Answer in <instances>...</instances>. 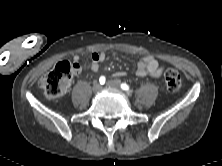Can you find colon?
Masks as SVG:
<instances>
[{
  "instance_id": "colon-1",
  "label": "colon",
  "mask_w": 222,
  "mask_h": 166,
  "mask_svg": "<svg viewBox=\"0 0 222 166\" xmlns=\"http://www.w3.org/2000/svg\"><path fill=\"white\" fill-rule=\"evenodd\" d=\"M78 67H80L79 64H71L67 61L57 63L51 71L39 79V87L49 98L62 97L66 93ZM164 83L168 91H178L182 85L179 72L174 68H168L164 73Z\"/></svg>"
}]
</instances>
